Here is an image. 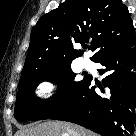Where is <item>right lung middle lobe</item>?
I'll return each mask as SVG.
<instances>
[{
	"label": "right lung middle lobe",
	"instance_id": "dd1d6c3e",
	"mask_svg": "<svg viewBox=\"0 0 136 136\" xmlns=\"http://www.w3.org/2000/svg\"><path fill=\"white\" fill-rule=\"evenodd\" d=\"M75 76L76 74L71 70L70 64H66L32 73L20 79L14 110L16 120L48 119L76 94L88 78V76H85L83 80L76 81ZM43 81L58 84L60 90L55 97L40 101L35 96V89Z\"/></svg>",
	"mask_w": 136,
	"mask_h": 136
}]
</instances>
